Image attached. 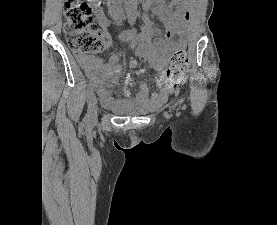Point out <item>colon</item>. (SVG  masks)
Segmentation results:
<instances>
[{
    "instance_id": "obj_1",
    "label": "colon",
    "mask_w": 277,
    "mask_h": 225,
    "mask_svg": "<svg viewBox=\"0 0 277 225\" xmlns=\"http://www.w3.org/2000/svg\"><path fill=\"white\" fill-rule=\"evenodd\" d=\"M93 6L97 0H66L64 31L70 49L77 54L100 53L105 50L106 43L101 37V30L94 22ZM188 63V54L185 49L176 50L171 58L163 79L168 83H176L181 76L182 70ZM132 67L137 65L132 61ZM135 84V76L128 73L125 79V93L128 88Z\"/></svg>"
}]
</instances>
